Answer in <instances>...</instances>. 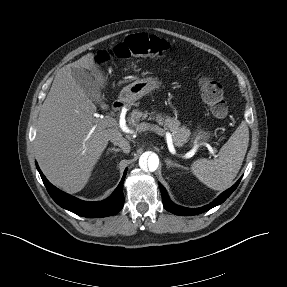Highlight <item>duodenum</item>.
Listing matches in <instances>:
<instances>
[{
    "mask_svg": "<svg viewBox=\"0 0 287 287\" xmlns=\"http://www.w3.org/2000/svg\"><path fill=\"white\" fill-rule=\"evenodd\" d=\"M123 107V102L121 100H116L113 103L114 110H120Z\"/></svg>",
    "mask_w": 287,
    "mask_h": 287,
    "instance_id": "410a0bca",
    "label": "duodenum"
}]
</instances>
